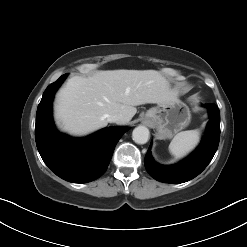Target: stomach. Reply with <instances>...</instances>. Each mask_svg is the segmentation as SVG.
Wrapping results in <instances>:
<instances>
[{"instance_id":"obj_1","label":"stomach","mask_w":247,"mask_h":247,"mask_svg":"<svg viewBox=\"0 0 247 247\" xmlns=\"http://www.w3.org/2000/svg\"><path fill=\"white\" fill-rule=\"evenodd\" d=\"M144 119L157 130L160 139L171 138L190 123L189 108L178 99L149 109Z\"/></svg>"}]
</instances>
